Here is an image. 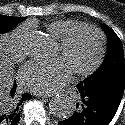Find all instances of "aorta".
Instances as JSON below:
<instances>
[{
	"mask_svg": "<svg viewBox=\"0 0 125 125\" xmlns=\"http://www.w3.org/2000/svg\"><path fill=\"white\" fill-rule=\"evenodd\" d=\"M30 54L39 60H45L52 56L54 43L44 33H36L30 40ZM50 111L59 118H68L75 111L74 100L66 95H58L52 98L49 103Z\"/></svg>",
	"mask_w": 125,
	"mask_h": 125,
	"instance_id": "762f6f07",
	"label": "aorta"
}]
</instances>
